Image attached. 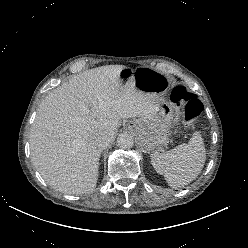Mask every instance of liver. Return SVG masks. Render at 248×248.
<instances>
[{
    "label": "liver",
    "mask_w": 248,
    "mask_h": 248,
    "mask_svg": "<svg viewBox=\"0 0 248 248\" xmlns=\"http://www.w3.org/2000/svg\"><path fill=\"white\" fill-rule=\"evenodd\" d=\"M125 68L87 70L41 102L30 131L31 159L53 188L66 194L93 191L103 150L94 139L107 134L112 141L121 119H151L158 110L155 94L120 79Z\"/></svg>",
    "instance_id": "obj_1"
}]
</instances>
